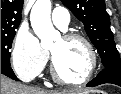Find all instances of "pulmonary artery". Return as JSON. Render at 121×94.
Masks as SVG:
<instances>
[{
	"label": "pulmonary artery",
	"instance_id": "e3ab8cb5",
	"mask_svg": "<svg viewBox=\"0 0 121 94\" xmlns=\"http://www.w3.org/2000/svg\"><path fill=\"white\" fill-rule=\"evenodd\" d=\"M69 12L63 7H56L52 12V21L60 29L65 30L69 24Z\"/></svg>",
	"mask_w": 121,
	"mask_h": 94
}]
</instances>
